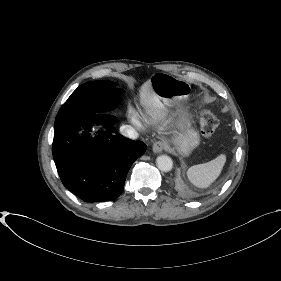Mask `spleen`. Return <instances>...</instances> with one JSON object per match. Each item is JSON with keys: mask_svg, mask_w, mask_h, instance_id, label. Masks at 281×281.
I'll return each mask as SVG.
<instances>
[{"mask_svg": "<svg viewBox=\"0 0 281 281\" xmlns=\"http://www.w3.org/2000/svg\"><path fill=\"white\" fill-rule=\"evenodd\" d=\"M225 162L226 156L221 154L207 163L194 165L187 171L188 179L198 188H207L220 175Z\"/></svg>", "mask_w": 281, "mask_h": 281, "instance_id": "1", "label": "spleen"}]
</instances>
